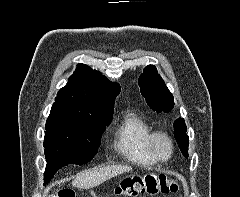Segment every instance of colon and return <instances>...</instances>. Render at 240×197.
<instances>
[{
  "label": "colon",
  "instance_id": "1",
  "mask_svg": "<svg viewBox=\"0 0 240 197\" xmlns=\"http://www.w3.org/2000/svg\"><path fill=\"white\" fill-rule=\"evenodd\" d=\"M178 190L176 181L162 174L132 175L126 177L115 189L116 197H134L141 193L150 195L174 193ZM49 197H75L70 189H63Z\"/></svg>",
  "mask_w": 240,
  "mask_h": 197
}]
</instances>
